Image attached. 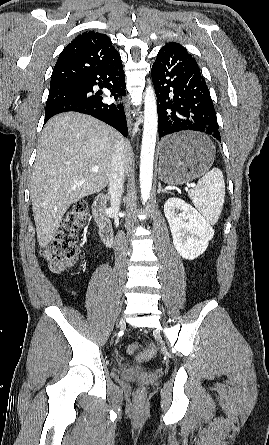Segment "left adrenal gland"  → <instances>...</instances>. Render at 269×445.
Wrapping results in <instances>:
<instances>
[{
  "label": "left adrenal gland",
  "instance_id": "obj_1",
  "mask_svg": "<svg viewBox=\"0 0 269 445\" xmlns=\"http://www.w3.org/2000/svg\"><path fill=\"white\" fill-rule=\"evenodd\" d=\"M157 193H158V194H160V193H170V194H171V192H169V191H167V190H164V189L162 188L160 182L158 183V191H157Z\"/></svg>",
  "mask_w": 269,
  "mask_h": 445
}]
</instances>
